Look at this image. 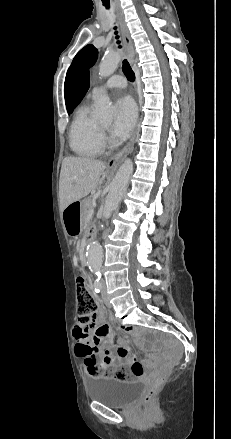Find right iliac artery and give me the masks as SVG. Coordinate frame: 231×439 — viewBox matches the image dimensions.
Instances as JSON below:
<instances>
[{
  "label": "right iliac artery",
  "mask_w": 231,
  "mask_h": 439,
  "mask_svg": "<svg viewBox=\"0 0 231 439\" xmlns=\"http://www.w3.org/2000/svg\"><path fill=\"white\" fill-rule=\"evenodd\" d=\"M102 288L101 282L99 279H96L94 282V290L96 293H99Z\"/></svg>",
  "instance_id": "obj_1"
}]
</instances>
